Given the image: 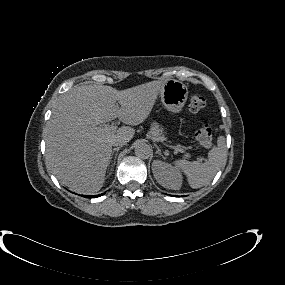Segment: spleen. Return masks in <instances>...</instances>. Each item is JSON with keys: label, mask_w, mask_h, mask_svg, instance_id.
Segmentation results:
<instances>
[{"label": "spleen", "mask_w": 285, "mask_h": 285, "mask_svg": "<svg viewBox=\"0 0 285 285\" xmlns=\"http://www.w3.org/2000/svg\"><path fill=\"white\" fill-rule=\"evenodd\" d=\"M225 158V138L219 136L216 146L209 151L208 159L204 163L177 159L173 164L176 171H181L186 175L189 185L197 189L208 185L212 181Z\"/></svg>", "instance_id": "1"}]
</instances>
